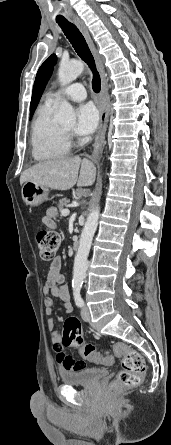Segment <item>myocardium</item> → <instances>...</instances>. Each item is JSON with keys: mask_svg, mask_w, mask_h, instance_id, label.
<instances>
[{"mask_svg": "<svg viewBox=\"0 0 171 445\" xmlns=\"http://www.w3.org/2000/svg\"><path fill=\"white\" fill-rule=\"evenodd\" d=\"M61 131H62L63 135L67 138L69 144H71V142L73 140L71 131L64 129L63 127H61Z\"/></svg>", "mask_w": 171, "mask_h": 445, "instance_id": "obj_1", "label": "myocardium"}]
</instances>
